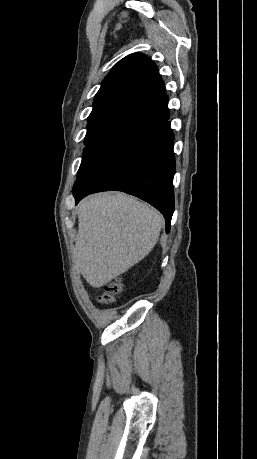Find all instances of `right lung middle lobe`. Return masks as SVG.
<instances>
[{
	"instance_id": "obj_1",
	"label": "right lung middle lobe",
	"mask_w": 257,
	"mask_h": 459,
	"mask_svg": "<svg viewBox=\"0 0 257 459\" xmlns=\"http://www.w3.org/2000/svg\"><path fill=\"white\" fill-rule=\"evenodd\" d=\"M135 112L109 109L91 113L88 117L84 154L78 172L83 170L109 143L120 126Z\"/></svg>"
}]
</instances>
